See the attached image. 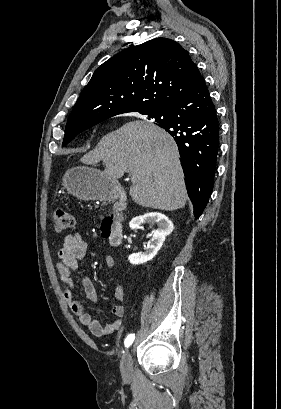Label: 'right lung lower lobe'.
Listing matches in <instances>:
<instances>
[{"mask_svg":"<svg viewBox=\"0 0 281 409\" xmlns=\"http://www.w3.org/2000/svg\"><path fill=\"white\" fill-rule=\"evenodd\" d=\"M151 115L177 143L197 219L212 192L219 147V122L204 79L186 95Z\"/></svg>","mask_w":281,"mask_h":409,"instance_id":"1","label":"right lung lower lobe"}]
</instances>
